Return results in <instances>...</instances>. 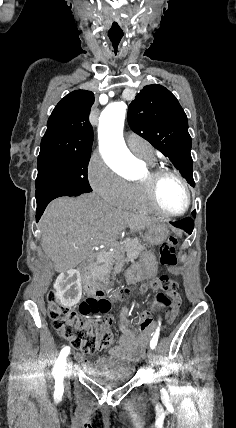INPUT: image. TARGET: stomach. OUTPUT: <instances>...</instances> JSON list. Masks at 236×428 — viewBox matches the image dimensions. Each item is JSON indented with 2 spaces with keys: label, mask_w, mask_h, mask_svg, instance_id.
<instances>
[{
  "label": "stomach",
  "mask_w": 236,
  "mask_h": 428,
  "mask_svg": "<svg viewBox=\"0 0 236 428\" xmlns=\"http://www.w3.org/2000/svg\"><path fill=\"white\" fill-rule=\"evenodd\" d=\"M169 236V230L164 222H155L145 228L144 242L148 246H159ZM158 258L151 252H145L140 261L126 267L127 274L121 276V281L129 287H135L140 283H150L157 274Z\"/></svg>",
  "instance_id": "stomach-1"
}]
</instances>
